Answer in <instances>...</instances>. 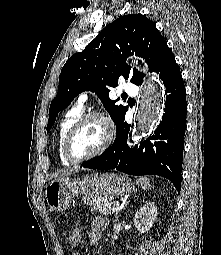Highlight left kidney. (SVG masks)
<instances>
[{"instance_id":"left-kidney-1","label":"left kidney","mask_w":221,"mask_h":255,"mask_svg":"<svg viewBox=\"0 0 221 255\" xmlns=\"http://www.w3.org/2000/svg\"><path fill=\"white\" fill-rule=\"evenodd\" d=\"M157 206L155 202H147L134 216V225L141 233L147 232L153 226L157 218Z\"/></svg>"}]
</instances>
